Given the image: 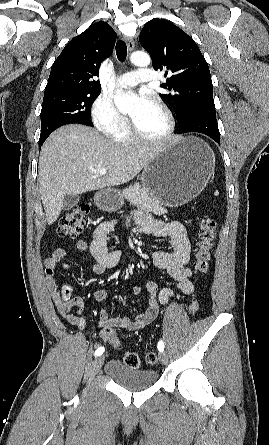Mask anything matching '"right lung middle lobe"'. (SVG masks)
<instances>
[{
	"label": "right lung middle lobe",
	"mask_w": 269,
	"mask_h": 445,
	"mask_svg": "<svg viewBox=\"0 0 269 445\" xmlns=\"http://www.w3.org/2000/svg\"><path fill=\"white\" fill-rule=\"evenodd\" d=\"M100 92L60 90L44 93L39 144L42 145L60 126L70 123L93 126L90 108Z\"/></svg>",
	"instance_id": "right-lung-middle-lobe-1"
}]
</instances>
